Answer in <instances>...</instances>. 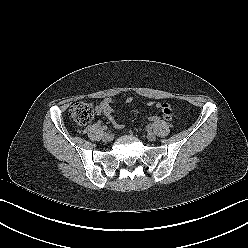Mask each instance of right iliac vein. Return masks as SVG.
<instances>
[{"mask_svg":"<svg viewBox=\"0 0 248 248\" xmlns=\"http://www.w3.org/2000/svg\"><path fill=\"white\" fill-rule=\"evenodd\" d=\"M111 140H112V135H110L109 133L103 134V141L110 142Z\"/></svg>","mask_w":248,"mask_h":248,"instance_id":"right-iliac-vein-1","label":"right iliac vein"}]
</instances>
